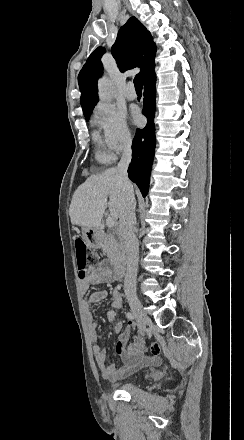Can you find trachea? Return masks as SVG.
I'll return each instance as SVG.
<instances>
[{
  "label": "trachea",
  "mask_w": 244,
  "mask_h": 440,
  "mask_svg": "<svg viewBox=\"0 0 244 440\" xmlns=\"http://www.w3.org/2000/svg\"><path fill=\"white\" fill-rule=\"evenodd\" d=\"M133 82H134L136 91H140L141 92L142 88H143L142 78L141 77H135Z\"/></svg>",
  "instance_id": "obj_1"
}]
</instances>
